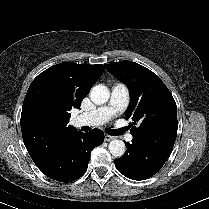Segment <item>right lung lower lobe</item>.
Listing matches in <instances>:
<instances>
[{"label": "right lung lower lobe", "instance_id": "98d812e1", "mask_svg": "<svg viewBox=\"0 0 209 209\" xmlns=\"http://www.w3.org/2000/svg\"><path fill=\"white\" fill-rule=\"evenodd\" d=\"M104 133L93 129L77 131L54 154L37 167L49 178L71 182L81 177L88 166L91 150L102 144Z\"/></svg>", "mask_w": 209, "mask_h": 209}]
</instances>
